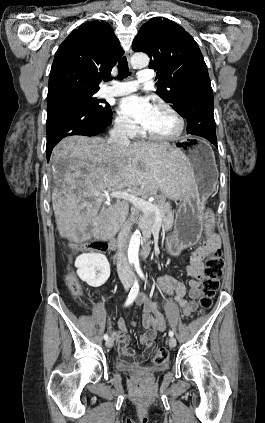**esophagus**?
<instances>
[{"label":"esophagus","mask_w":265,"mask_h":423,"mask_svg":"<svg viewBox=\"0 0 265 423\" xmlns=\"http://www.w3.org/2000/svg\"><path fill=\"white\" fill-rule=\"evenodd\" d=\"M131 56H132V50L130 49L126 52V57H127L129 62H130Z\"/></svg>","instance_id":"esophagus-1"}]
</instances>
